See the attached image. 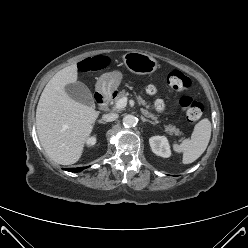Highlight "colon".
<instances>
[{
    "instance_id": "obj_1",
    "label": "colon",
    "mask_w": 248,
    "mask_h": 248,
    "mask_svg": "<svg viewBox=\"0 0 248 248\" xmlns=\"http://www.w3.org/2000/svg\"><path fill=\"white\" fill-rule=\"evenodd\" d=\"M103 66L104 62L98 58L87 59L80 64V68L84 71L99 69ZM167 82L168 85L177 92L187 91L191 87L190 78L179 70H172L167 76ZM147 92L150 95H153L155 94L156 89L154 86L149 85L147 87ZM178 104L185 112L186 118L189 122L195 123L201 118L203 113V106L200 102L191 96H181L178 100ZM154 105L157 110H161L163 108V104L159 100L156 101Z\"/></svg>"
}]
</instances>
